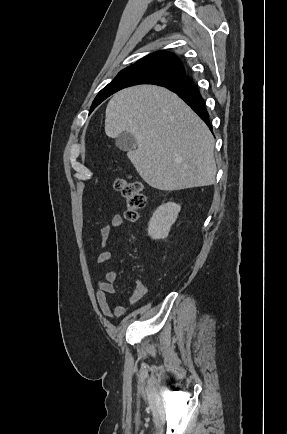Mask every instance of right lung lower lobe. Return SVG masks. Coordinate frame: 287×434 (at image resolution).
Masks as SVG:
<instances>
[{"instance_id":"right-lung-lower-lobe-1","label":"right lung lower lobe","mask_w":287,"mask_h":434,"mask_svg":"<svg viewBox=\"0 0 287 434\" xmlns=\"http://www.w3.org/2000/svg\"><path fill=\"white\" fill-rule=\"evenodd\" d=\"M164 87L172 90L179 97H181L209 126L210 130H212L209 122V114L205 107V102L198 90V87L189 76H186L182 80Z\"/></svg>"}]
</instances>
